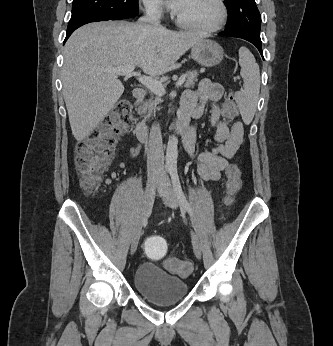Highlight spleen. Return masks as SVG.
Listing matches in <instances>:
<instances>
[{"label": "spleen", "mask_w": 333, "mask_h": 346, "mask_svg": "<svg viewBox=\"0 0 333 346\" xmlns=\"http://www.w3.org/2000/svg\"><path fill=\"white\" fill-rule=\"evenodd\" d=\"M239 64L244 80L243 89L235 94V101L245 123L255 115L260 90V71L253 54L246 48L239 49Z\"/></svg>", "instance_id": "obj_1"}]
</instances>
